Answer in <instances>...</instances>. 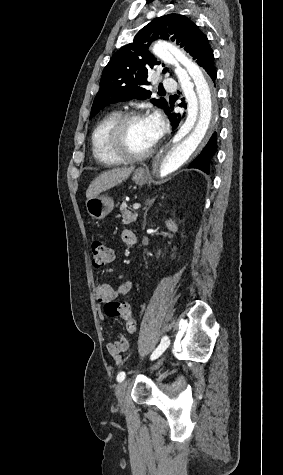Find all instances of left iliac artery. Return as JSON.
Returning <instances> with one entry per match:
<instances>
[{
	"label": "left iliac artery",
	"instance_id": "44dca946",
	"mask_svg": "<svg viewBox=\"0 0 283 475\" xmlns=\"http://www.w3.org/2000/svg\"><path fill=\"white\" fill-rule=\"evenodd\" d=\"M169 346V341H168V337L167 336H164L161 340V343L160 345L155 349V351L152 353L151 355V360H154L156 358H158L165 350L166 348ZM125 379V372H120L118 375H117V381L118 382H122L123 380Z\"/></svg>",
	"mask_w": 283,
	"mask_h": 475
}]
</instances>
